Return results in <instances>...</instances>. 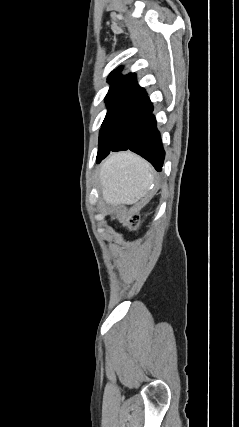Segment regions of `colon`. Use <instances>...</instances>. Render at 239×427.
<instances>
[{"label": "colon", "mask_w": 239, "mask_h": 427, "mask_svg": "<svg viewBox=\"0 0 239 427\" xmlns=\"http://www.w3.org/2000/svg\"><path fill=\"white\" fill-rule=\"evenodd\" d=\"M138 223H139V216L138 215H134V216L130 217L128 220V226L131 229L136 228Z\"/></svg>", "instance_id": "1"}]
</instances>
